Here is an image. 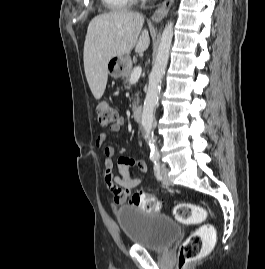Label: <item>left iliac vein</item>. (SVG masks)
Instances as JSON below:
<instances>
[{"instance_id":"left-iliac-vein-1","label":"left iliac vein","mask_w":265,"mask_h":269,"mask_svg":"<svg viewBox=\"0 0 265 269\" xmlns=\"http://www.w3.org/2000/svg\"><path fill=\"white\" fill-rule=\"evenodd\" d=\"M162 182L164 185H170V179L168 177V169L166 167L161 168Z\"/></svg>"}]
</instances>
